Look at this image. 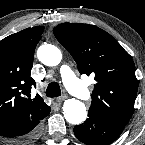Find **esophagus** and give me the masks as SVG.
Segmentation results:
<instances>
[{"label": "esophagus", "mask_w": 145, "mask_h": 145, "mask_svg": "<svg viewBox=\"0 0 145 145\" xmlns=\"http://www.w3.org/2000/svg\"><path fill=\"white\" fill-rule=\"evenodd\" d=\"M65 99H67V96L66 95H63V96H60L56 99L57 102L61 103L63 102Z\"/></svg>", "instance_id": "obj_1"}]
</instances>
